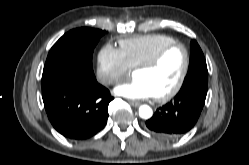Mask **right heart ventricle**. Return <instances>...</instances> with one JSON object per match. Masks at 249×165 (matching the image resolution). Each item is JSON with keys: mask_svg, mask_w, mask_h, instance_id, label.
I'll list each match as a JSON object with an SVG mask.
<instances>
[{"mask_svg": "<svg viewBox=\"0 0 249 165\" xmlns=\"http://www.w3.org/2000/svg\"><path fill=\"white\" fill-rule=\"evenodd\" d=\"M173 42L175 40L168 35L152 33L120 40L119 49L129 68H135L160 48Z\"/></svg>", "mask_w": 249, "mask_h": 165, "instance_id": "1", "label": "right heart ventricle"}]
</instances>
